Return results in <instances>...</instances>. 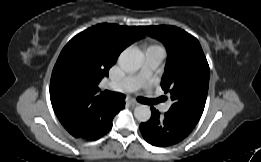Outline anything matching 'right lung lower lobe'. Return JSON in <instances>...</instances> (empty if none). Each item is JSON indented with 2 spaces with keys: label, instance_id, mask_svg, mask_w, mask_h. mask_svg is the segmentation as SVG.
I'll return each mask as SVG.
<instances>
[{
  "label": "right lung lower lobe",
  "instance_id": "98d812e1",
  "mask_svg": "<svg viewBox=\"0 0 261 162\" xmlns=\"http://www.w3.org/2000/svg\"><path fill=\"white\" fill-rule=\"evenodd\" d=\"M124 102H118L115 112L112 116L108 117L105 121L97 123L91 128V131L88 135L79 136L78 138L86 139V140H97L102 135L106 134L112 128V120L114 116L124 108Z\"/></svg>",
  "mask_w": 261,
  "mask_h": 162
}]
</instances>
